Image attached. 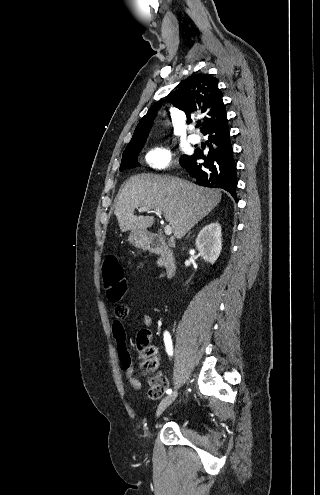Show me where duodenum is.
<instances>
[{
	"instance_id": "duodenum-1",
	"label": "duodenum",
	"mask_w": 320,
	"mask_h": 495,
	"mask_svg": "<svg viewBox=\"0 0 320 495\" xmlns=\"http://www.w3.org/2000/svg\"><path fill=\"white\" fill-rule=\"evenodd\" d=\"M144 245L150 252L160 255L166 275L168 277L173 276L176 270V263L173 253L166 242L156 234H148L144 238Z\"/></svg>"
}]
</instances>
